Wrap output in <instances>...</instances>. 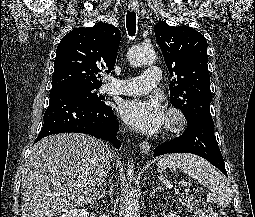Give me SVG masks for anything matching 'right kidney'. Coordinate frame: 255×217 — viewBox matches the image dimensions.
Returning <instances> with one entry per match:
<instances>
[{"label": "right kidney", "instance_id": "ca27d5eb", "mask_svg": "<svg viewBox=\"0 0 255 217\" xmlns=\"http://www.w3.org/2000/svg\"><path fill=\"white\" fill-rule=\"evenodd\" d=\"M86 209H71L65 211L60 217H87Z\"/></svg>", "mask_w": 255, "mask_h": 217}]
</instances>
